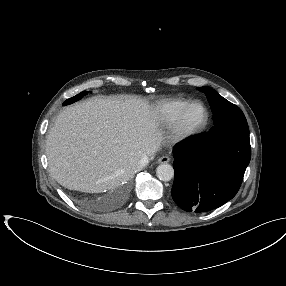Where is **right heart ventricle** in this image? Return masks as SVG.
I'll return each instance as SVG.
<instances>
[{"instance_id": "right-heart-ventricle-1", "label": "right heart ventricle", "mask_w": 286, "mask_h": 286, "mask_svg": "<svg viewBox=\"0 0 286 286\" xmlns=\"http://www.w3.org/2000/svg\"><path fill=\"white\" fill-rule=\"evenodd\" d=\"M191 103L184 98L163 99L156 102L150 111V118L154 125L166 127L173 124Z\"/></svg>"}]
</instances>
